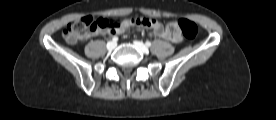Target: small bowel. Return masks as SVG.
Returning <instances> with one entry per match:
<instances>
[{
    "label": "small bowel",
    "mask_w": 276,
    "mask_h": 120,
    "mask_svg": "<svg viewBox=\"0 0 276 120\" xmlns=\"http://www.w3.org/2000/svg\"><path fill=\"white\" fill-rule=\"evenodd\" d=\"M127 26H128L127 21H124L119 29H117L116 31L111 32V33H122L126 30ZM149 28L151 29L152 33L157 37L166 39V40L171 41L173 43H179L181 41L180 35H178V34L171 35V34L167 33L164 30L162 24L160 22H158L157 20L153 19L152 24ZM89 37H91V35H88L85 38H89Z\"/></svg>",
    "instance_id": "obj_1"
}]
</instances>
